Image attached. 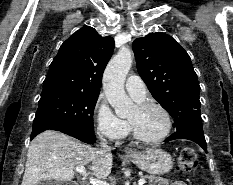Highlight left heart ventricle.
I'll return each instance as SVG.
<instances>
[{
	"label": "left heart ventricle",
	"instance_id": "obj_1",
	"mask_svg": "<svg viewBox=\"0 0 233 185\" xmlns=\"http://www.w3.org/2000/svg\"><path fill=\"white\" fill-rule=\"evenodd\" d=\"M128 120L132 121L138 132L146 138L160 136L167 126L164 114L153 107L139 109L136 106L128 116Z\"/></svg>",
	"mask_w": 233,
	"mask_h": 185
}]
</instances>
